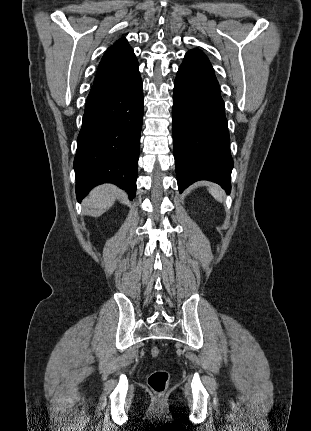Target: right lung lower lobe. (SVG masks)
I'll return each mask as SVG.
<instances>
[{"label": "right lung lower lobe", "instance_id": "1", "mask_svg": "<svg viewBox=\"0 0 311 431\" xmlns=\"http://www.w3.org/2000/svg\"><path fill=\"white\" fill-rule=\"evenodd\" d=\"M143 89L138 65L94 83L88 95L74 159L78 201L95 186L114 183L136 194Z\"/></svg>", "mask_w": 311, "mask_h": 431}]
</instances>
